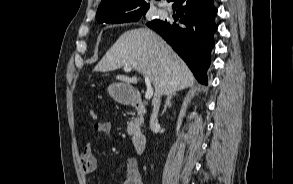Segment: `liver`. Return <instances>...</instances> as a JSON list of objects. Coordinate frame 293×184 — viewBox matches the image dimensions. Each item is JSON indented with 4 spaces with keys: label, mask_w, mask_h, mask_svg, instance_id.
<instances>
[{
    "label": "liver",
    "mask_w": 293,
    "mask_h": 184,
    "mask_svg": "<svg viewBox=\"0 0 293 184\" xmlns=\"http://www.w3.org/2000/svg\"><path fill=\"white\" fill-rule=\"evenodd\" d=\"M128 66L148 76L153 82V103L161 95H169L194 85L195 78L184 61L154 31L136 28L124 32L106 52L94 71H114ZM125 83H137L136 76L117 75Z\"/></svg>",
    "instance_id": "6515ba94"
}]
</instances>
